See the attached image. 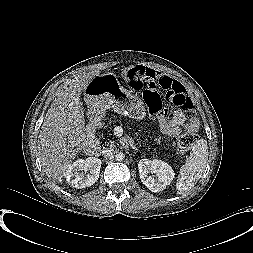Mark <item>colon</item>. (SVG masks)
Instances as JSON below:
<instances>
[{
	"label": "colon",
	"mask_w": 253,
	"mask_h": 253,
	"mask_svg": "<svg viewBox=\"0 0 253 253\" xmlns=\"http://www.w3.org/2000/svg\"><path fill=\"white\" fill-rule=\"evenodd\" d=\"M119 76L124 79L128 87L134 91L146 86L144 99L149 113L158 117H166L172 108H180L185 112L193 110V104L187 92L181 85H171L159 78L143 66H129L120 69ZM197 137L193 133H184L179 136L176 144V153L179 156L186 154L196 143Z\"/></svg>",
	"instance_id": "1"
}]
</instances>
